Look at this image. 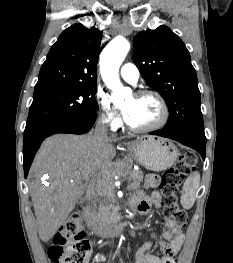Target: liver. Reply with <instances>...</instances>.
<instances>
[{"label": "liver", "mask_w": 233, "mask_h": 263, "mask_svg": "<svg viewBox=\"0 0 233 263\" xmlns=\"http://www.w3.org/2000/svg\"><path fill=\"white\" fill-rule=\"evenodd\" d=\"M108 139L99 146L92 134L53 135L42 143L31 167L29 192L42 241H49L82 197L88 182L104 179L116 154ZM47 176V185L41 178Z\"/></svg>", "instance_id": "obj_1"}]
</instances>
